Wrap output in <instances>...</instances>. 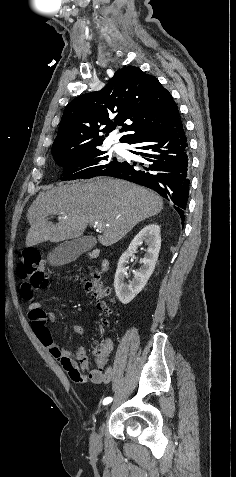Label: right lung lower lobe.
I'll list each match as a JSON object with an SVG mask.
<instances>
[{"instance_id": "1", "label": "right lung lower lobe", "mask_w": 236, "mask_h": 477, "mask_svg": "<svg viewBox=\"0 0 236 477\" xmlns=\"http://www.w3.org/2000/svg\"><path fill=\"white\" fill-rule=\"evenodd\" d=\"M128 144H134L145 163L123 161L106 176L125 179L158 192L171 200L174 208L184 219L189 193V147L179 112L165 127L138 136Z\"/></svg>"}]
</instances>
